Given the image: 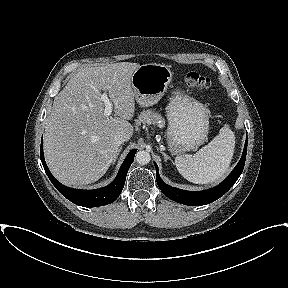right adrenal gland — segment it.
Returning <instances> with one entry per match:
<instances>
[{
  "label": "right adrenal gland",
  "instance_id": "right-adrenal-gland-1",
  "mask_svg": "<svg viewBox=\"0 0 288 288\" xmlns=\"http://www.w3.org/2000/svg\"><path fill=\"white\" fill-rule=\"evenodd\" d=\"M121 149H122V147L119 148L118 153H117V156H116L114 162L116 161L117 157L119 156V153H120ZM114 162H113V163H114Z\"/></svg>",
  "mask_w": 288,
  "mask_h": 288
}]
</instances>
